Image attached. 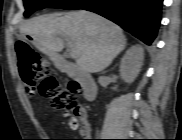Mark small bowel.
<instances>
[{
  "instance_id": "1",
  "label": "small bowel",
  "mask_w": 182,
  "mask_h": 140,
  "mask_svg": "<svg viewBox=\"0 0 182 140\" xmlns=\"http://www.w3.org/2000/svg\"><path fill=\"white\" fill-rule=\"evenodd\" d=\"M79 133H80L82 138H85V139H81V140H89V139H86V138L90 137V127H89V125L87 123L82 124L81 128L79 130Z\"/></svg>"
}]
</instances>
